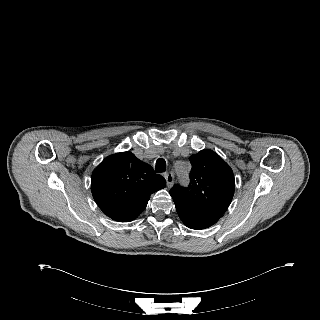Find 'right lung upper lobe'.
<instances>
[{"instance_id": "right-lung-upper-lobe-1", "label": "right lung upper lobe", "mask_w": 320, "mask_h": 320, "mask_svg": "<svg viewBox=\"0 0 320 320\" xmlns=\"http://www.w3.org/2000/svg\"><path fill=\"white\" fill-rule=\"evenodd\" d=\"M166 186L165 179L131 152L108 156L91 178L92 195L111 219L129 222L145 209L150 195Z\"/></svg>"}]
</instances>
